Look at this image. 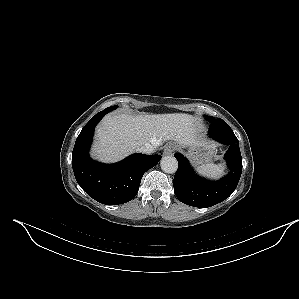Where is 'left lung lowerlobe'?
Segmentation results:
<instances>
[{
  "instance_id": "1",
  "label": "left lung lower lobe",
  "mask_w": 299,
  "mask_h": 299,
  "mask_svg": "<svg viewBox=\"0 0 299 299\" xmlns=\"http://www.w3.org/2000/svg\"><path fill=\"white\" fill-rule=\"evenodd\" d=\"M209 135L230 145L225 154L230 172L221 180L213 182L199 178L183 155H174L179 164L173 180L175 195L181 202L198 208L211 207L227 199L236 189L242 173L238 139L232 129L225 122H215L209 127Z\"/></svg>"
}]
</instances>
